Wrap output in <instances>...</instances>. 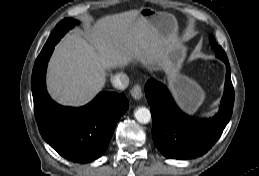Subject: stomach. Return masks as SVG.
Instances as JSON below:
<instances>
[{
    "mask_svg": "<svg viewBox=\"0 0 259 176\" xmlns=\"http://www.w3.org/2000/svg\"><path fill=\"white\" fill-rule=\"evenodd\" d=\"M139 12L163 40L162 61L170 87L180 106L187 113L193 114L202 104L204 92L194 80L180 74L186 48L176 40L175 19L170 14L152 8H141Z\"/></svg>",
    "mask_w": 259,
    "mask_h": 176,
    "instance_id": "1",
    "label": "stomach"
}]
</instances>
